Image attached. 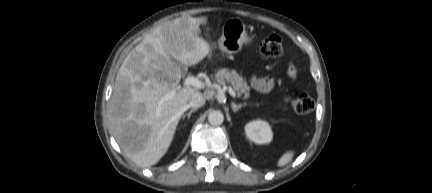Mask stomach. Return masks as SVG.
Wrapping results in <instances>:
<instances>
[{
    "label": "stomach",
    "mask_w": 432,
    "mask_h": 193,
    "mask_svg": "<svg viewBox=\"0 0 432 193\" xmlns=\"http://www.w3.org/2000/svg\"><path fill=\"white\" fill-rule=\"evenodd\" d=\"M252 40L253 38L247 35L245 24L237 18H231L223 25L218 46L223 52L234 54L241 49L243 44H249Z\"/></svg>",
    "instance_id": "1"
}]
</instances>
